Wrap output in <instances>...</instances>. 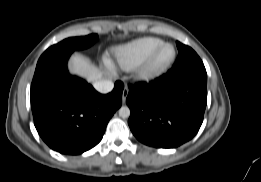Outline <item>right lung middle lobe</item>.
Masks as SVG:
<instances>
[{
    "label": "right lung middle lobe",
    "mask_w": 261,
    "mask_h": 182,
    "mask_svg": "<svg viewBox=\"0 0 261 182\" xmlns=\"http://www.w3.org/2000/svg\"><path fill=\"white\" fill-rule=\"evenodd\" d=\"M97 39V34H90L84 37H72L61 41L60 43L49 47L40 57L39 61H43L48 57L59 53L73 52L90 47Z\"/></svg>",
    "instance_id": "1"
}]
</instances>
